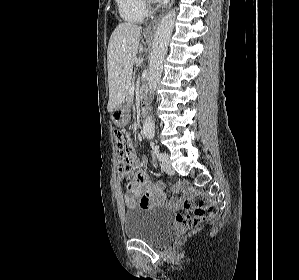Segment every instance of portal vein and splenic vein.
<instances>
[{
  "mask_svg": "<svg viewBox=\"0 0 299 280\" xmlns=\"http://www.w3.org/2000/svg\"><path fill=\"white\" fill-rule=\"evenodd\" d=\"M129 94H134V86H131V87L129 88Z\"/></svg>",
  "mask_w": 299,
  "mask_h": 280,
  "instance_id": "18ae733b",
  "label": "portal vein and splenic vein"
}]
</instances>
